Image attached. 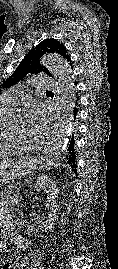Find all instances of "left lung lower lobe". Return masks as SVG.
Segmentation results:
<instances>
[{
	"instance_id": "obj_1",
	"label": "left lung lower lobe",
	"mask_w": 118,
	"mask_h": 269,
	"mask_svg": "<svg viewBox=\"0 0 118 269\" xmlns=\"http://www.w3.org/2000/svg\"><path fill=\"white\" fill-rule=\"evenodd\" d=\"M77 84V82H75V85ZM77 98V97H76ZM76 102H77V99H76ZM77 111L78 109L77 108H74V117L76 116L77 114ZM74 144H75V141H74V138L72 136L71 140H70V143L68 145V150H67V155H66V158H67V163L72 167V169L76 172V155H75V149H74Z\"/></svg>"
}]
</instances>
